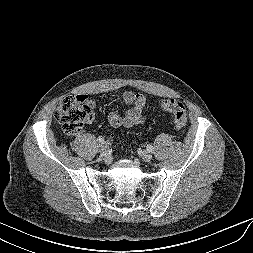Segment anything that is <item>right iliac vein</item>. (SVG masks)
Instances as JSON below:
<instances>
[{"mask_svg": "<svg viewBox=\"0 0 253 253\" xmlns=\"http://www.w3.org/2000/svg\"><path fill=\"white\" fill-rule=\"evenodd\" d=\"M98 150H99L100 153L104 154L108 150V145L105 144V143L100 144L99 147H98Z\"/></svg>", "mask_w": 253, "mask_h": 253, "instance_id": "right-iliac-vein-1", "label": "right iliac vein"}]
</instances>
